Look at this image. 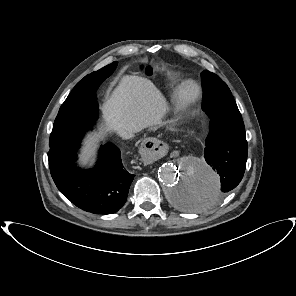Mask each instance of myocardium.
<instances>
[{
  "mask_svg": "<svg viewBox=\"0 0 296 296\" xmlns=\"http://www.w3.org/2000/svg\"><path fill=\"white\" fill-rule=\"evenodd\" d=\"M199 95L200 87L197 82L191 79L181 82L175 90V99L182 106L193 103Z\"/></svg>",
  "mask_w": 296,
  "mask_h": 296,
  "instance_id": "f54148a6",
  "label": "myocardium"
}]
</instances>
